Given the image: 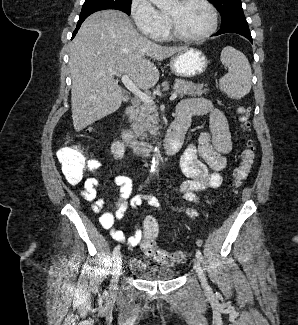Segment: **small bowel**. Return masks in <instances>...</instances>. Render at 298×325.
I'll return each mask as SVG.
<instances>
[{
    "instance_id": "obj_1",
    "label": "small bowel",
    "mask_w": 298,
    "mask_h": 325,
    "mask_svg": "<svg viewBox=\"0 0 298 325\" xmlns=\"http://www.w3.org/2000/svg\"><path fill=\"white\" fill-rule=\"evenodd\" d=\"M187 102L198 104L202 108L201 114L210 116V131L200 135L197 146H188L179 160V166L188 178L181 184L180 189L188 201L197 202V192L221 186L223 182L221 171L227 165L226 154L232 150V139L227 118L221 110L214 108L210 102L203 99L187 100ZM114 183L119 190V196L113 208L101 214L99 222L104 229L110 231L114 240L135 247L142 238L141 229L136 226L134 234L126 239L124 233L115 226L128 209L132 181L126 175H119L114 179ZM98 186V179L90 176L80 189V195L84 200L91 202V209L95 213H101L105 205L104 200L97 197ZM143 201H147L150 206L157 209L162 208L160 200L151 194L134 196L130 205L138 207ZM171 208L175 211L186 212L191 216L196 215L193 209L176 206Z\"/></svg>"
}]
</instances>
